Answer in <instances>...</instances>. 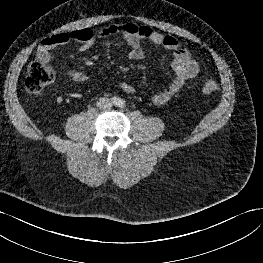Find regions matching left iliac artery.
Segmentation results:
<instances>
[{"label": "left iliac artery", "mask_w": 263, "mask_h": 263, "mask_svg": "<svg viewBox=\"0 0 263 263\" xmlns=\"http://www.w3.org/2000/svg\"><path fill=\"white\" fill-rule=\"evenodd\" d=\"M118 105L119 107L123 108L125 106V101L121 100Z\"/></svg>", "instance_id": "44dca946"}]
</instances>
